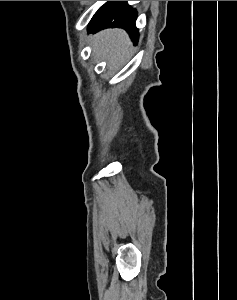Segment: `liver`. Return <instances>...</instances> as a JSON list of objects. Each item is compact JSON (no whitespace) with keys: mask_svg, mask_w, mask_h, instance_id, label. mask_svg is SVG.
Segmentation results:
<instances>
[{"mask_svg":"<svg viewBox=\"0 0 237 300\" xmlns=\"http://www.w3.org/2000/svg\"><path fill=\"white\" fill-rule=\"evenodd\" d=\"M93 51L108 61L109 67H116L123 59H128L133 47L126 31L123 29H106L91 37Z\"/></svg>","mask_w":237,"mask_h":300,"instance_id":"6515ba94","label":"liver"}]
</instances>
